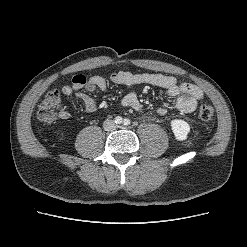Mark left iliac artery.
<instances>
[{"instance_id":"1","label":"left iliac artery","mask_w":247,"mask_h":247,"mask_svg":"<svg viewBox=\"0 0 247 247\" xmlns=\"http://www.w3.org/2000/svg\"><path fill=\"white\" fill-rule=\"evenodd\" d=\"M123 124H124L125 126L130 125V120H129V119H124Z\"/></svg>"}]
</instances>
